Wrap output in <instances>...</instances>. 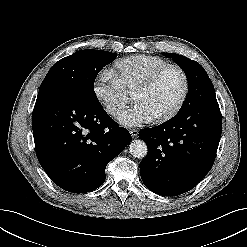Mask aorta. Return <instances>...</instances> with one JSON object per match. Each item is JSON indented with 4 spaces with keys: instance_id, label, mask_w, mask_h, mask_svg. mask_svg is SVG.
I'll return each mask as SVG.
<instances>
[{
    "instance_id": "obj_1",
    "label": "aorta",
    "mask_w": 247,
    "mask_h": 247,
    "mask_svg": "<svg viewBox=\"0 0 247 247\" xmlns=\"http://www.w3.org/2000/svg\"><path fill=\"white\" fill-rule=\"evenodd\" d=\"M129 152L133 157L143 159L148 152L147 145L143 140H133L129 144Z\"/></svg>"
}]
</instances>
